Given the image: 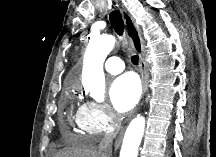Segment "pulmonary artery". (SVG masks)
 I'll return each instance as SVG.
<instances>
[{
	"instance_id": "e3ab8cb5",
	"label": "pulmonary artery",
	"mask_w": 216,
	"mask_h": 157,
	"mask_svg": "<svg viewBox=\"0 0 216 157\" xmlns=\"http://www.w3.org/2000/svg\"><path fill=\"white\" fill-rule=\"evenodd\" d=\"M104 69L110 74H117L123 71L124 63L120 57L111 56L105 61Z\"/></svg>"
}]
</instances>
